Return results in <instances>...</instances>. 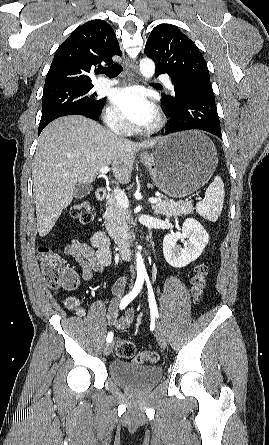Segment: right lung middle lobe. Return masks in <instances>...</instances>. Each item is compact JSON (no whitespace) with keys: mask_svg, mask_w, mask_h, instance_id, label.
<instances>
[{"mask_svg":"<svg viewBox=\"0 0 269 445\" xmlns=\"http://www.w3.org/2000/svg\"><path fill=\"white\" fill-rule=\"evenodd\" d=\"M93 85H71L44 90L39 131L56 118L65 115L97 116L105 98L89 91Z\"/></svg>","mask_w":269,"mask_h":445,"instance_id":"right-lung-middle-lobe-1","label":"right lung middle lobe"}]
</instances>
